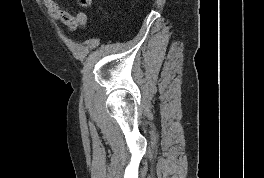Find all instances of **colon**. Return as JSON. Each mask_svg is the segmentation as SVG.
Returning <instances> with one entry per match:
<instances>
[{"label":"colon","instance_id":"5ec220e1","mask_svg":"<svg viewBox=\"0 0 264 178\" xmlns=\"http://www.w3.org/2000/svg\"><path fill=\"white\" fill-rule=\"evenodd\" d=\"M79 7L83 10H88L91 7L92 0H78Z\"/></svg>","mask_w":264,"mask_h":178}]
</instances>
